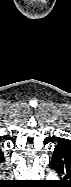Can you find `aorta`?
I'll return each instance as SVG.
<instances>
[{
	"label": "aorta",
	"instance_id": "1",
	"mask_svg": "<svg viewBox=\"0 0 71 187\" xmlns=\"http://www.w3.org/2000/svg\"><path fill=\"white\" fill-rule=\"evenodd\" d=\"M47 180H58V176L56 175V173L54 171H50L47 176H46Z\"/></svg>",
	"mask_w": 71,
	"mask_h": 187
}]
</instances>
